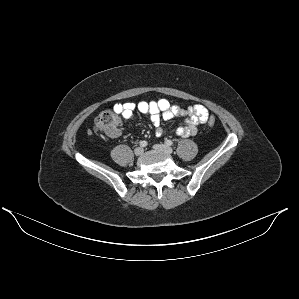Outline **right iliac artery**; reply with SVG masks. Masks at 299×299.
<instances>
[{"label":"right iliac artery","instance_id":"obj_1","mask_svg":"<svg viewBox=\"0 0 299 299\" xmlns=\"http://www.w3.org/2000/svg\"><path fill=\"white\" fill-rule=\"evenodd\" d=\"M147 144H148L147 141H141V142H140V146H141V147H146Z\"/></svg>","mask_w":299,"mask_h":299}]
</instances>
